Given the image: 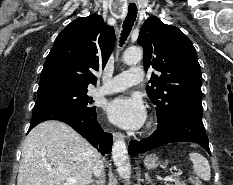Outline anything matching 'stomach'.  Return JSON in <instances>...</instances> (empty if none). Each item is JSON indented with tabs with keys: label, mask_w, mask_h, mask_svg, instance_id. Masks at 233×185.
I'll list each match as a JSON object with an SVG mask.
<instances>
[{
	"label": "stomach",
	"mask_w": 233,
	"mask_h": 185,
	"mask_svg": "<svg viewBox=\"0 0 233 185\" xmlns=\"http://www.w3.org/2000/svg\"><path fill=\"white\" fill-rule=\"evenodd\" d=\"M144 164L147 168H155L158 165V157L150 154L145 157Z\"/></svg>",
	"instance_id": "stomach-1"
}]
</instances>
